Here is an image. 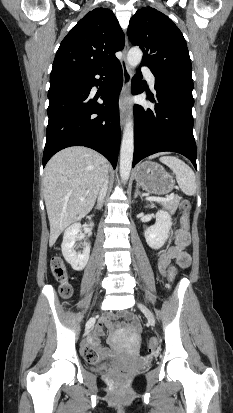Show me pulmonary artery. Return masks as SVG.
Here are the masks:
<instances>
[{"label":"pulmonary artery","mask_w":233,"mask_h":413,"mask_svg":"<svg viewBox=\"0 0 233 413\" xmlns=\"http://www.w3.org/2000/svg\"><path fill=\"white\" fill-rule=\"evenodd\" d=\"M143 73H144L145 77L147 78V81H148L150 87L154 88V86H155V76L153 75L151 70L148 69V68H143Z\"/></svg>","instance_id":"e3ab8cb5"}]
</instances>
